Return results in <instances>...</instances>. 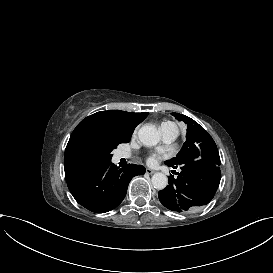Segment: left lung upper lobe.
Here are the masks:
<instances>
[{
	"label": "left lung upper lobe",
	"mask_w": 273,
	"mask_h": 273,
	"mask_svg": "<svg viewBox=\"0 0 273 273\" xmlns=\"http://www.w3.org/2000/svg\"><path fill=\"white\" fill-rule=\"evenodd\" d=\"M172 115L187 124L186 141L177 156L165 163L181 165L188 161L205 160L220 165L217 146L209 133L187 116L179 113H172Z\"/></svg>",
	"instance_id": "5c2ea615"
}]
</instances>
